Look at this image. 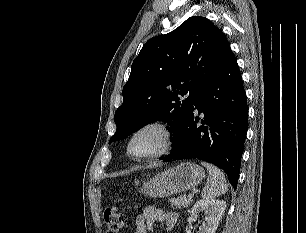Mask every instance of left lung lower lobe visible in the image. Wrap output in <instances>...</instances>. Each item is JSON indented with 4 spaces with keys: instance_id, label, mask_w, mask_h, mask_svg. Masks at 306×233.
Returning <instances> with one entry per match:
<instances>
[{
    "instance_id": "0a47b994",
    "label": "left lung lower lobe",
    "mask_w": 306,
    "mask_h": 233,
    "mask_svg": "<svg viewBox=\"0 0 306 233\" xmlns=\"http://www.w3.org/2000/svg\"><path fill=\"white\" fill-rule=\"evenodd\" d=\"M204 114L198 127L195 110ZM248 106L236 57L230 50L225 61L197 98L194 109L173 139L172 161L199 158L222 168L236 189L247 132Z\"/></svg>"
}]
</instances>
